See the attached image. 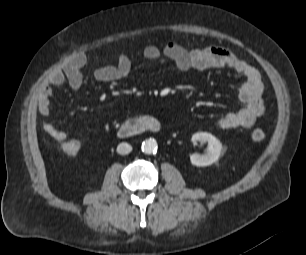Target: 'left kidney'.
<instances>
[{
    "instance_id": "obj_1",
    "label": "left kidney",
    "mask_w": 306,
    "mask_h": 255,
    "mask_svg": "<svg viewBox=\"0 0 306 255\" xmlns=\"http://www.w3.org/2000/svg\"><path fill=\"white\" fill-rule=\"evenodd\" d=\"M194 145L198 142L208 143V152L206 154H192L190 161L193 165L198 167L208 166L216 162L220 156L222 144L220 141L210 133L197 132L191 138Z\"/></svg>"
}]
</instances>
